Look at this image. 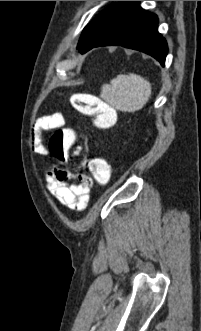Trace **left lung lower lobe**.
<instances>
[{"label":"left lung lower lobe","instance_id":"0a47b994","mask_svg":"<svg viewBox=\"0 0 201 331\" xmlns=\"http://www.w3.org/2000/svg\"><path fill=\"white\" fill-rule=\"evenodd\" d=\"M155 14L143 10L139 1H119L77 46L81 53L106 45L142 51L165 65L167 43L158 32Z\"/></svg>","mask_w":201,"mask_h":331}]
</instances>
